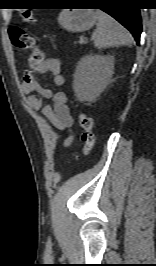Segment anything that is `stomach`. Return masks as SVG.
Returning <instances> with one entry per match:
<instances>
[{
	"label": "stomach",
	"instance_id": "1",
	"mask_svg": "<svg viewBox=\"0 0 156 266\" xmlns=\"http://www.w3.org/2000/svg\"><path fill=\"white\" fill-rule=\"evenodd\" d=\"M97 21L90 9H64L59 14L60 26L70 32H83L92 28Z\"/></svg>",
	"mask_w": 156,
	"mask_h": 266
}]
</instances>
